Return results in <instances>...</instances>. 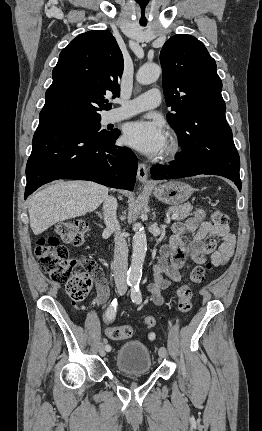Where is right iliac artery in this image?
<instances>
[{"instance_id":"1","label":"right iliac artery","mask_w":262,"mask_h":431,"mask_svg":"<svg viewBox=\"0 0 262 431\" xmlns=\"http://www.w3.org/2000/svg\"><path fill=\"white\" fill-rule=\"evenodd\" d=\"M117 311V299H114L106 310L105 318L107 322H112L115 319ZM105 342V341H104ZM106 350L110 351V345L105 346Z\"/></svg>"}]
</instances>
